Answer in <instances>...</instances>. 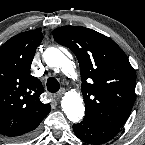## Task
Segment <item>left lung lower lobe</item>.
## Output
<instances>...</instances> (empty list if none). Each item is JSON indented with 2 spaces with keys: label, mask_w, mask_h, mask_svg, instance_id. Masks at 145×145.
<instances>
[{
  "label": "left lung lower lobe",
  "mask_w": 145,
  "mask_h": 145,
  "mask_svg": "<svg viewBox=\"0 0 145 145\" xmlns=\"http://www.w3.org/2000/svg\"><path fill=\"white\" fill-rule=\"evenodd\" d=\"M73 130L79 139L90 144L106 143L119 132V129L103 126L85 117L81 123L73 125Z\"/></svg>",
  "instance_id": "0a47b994"
}]
</instances>
